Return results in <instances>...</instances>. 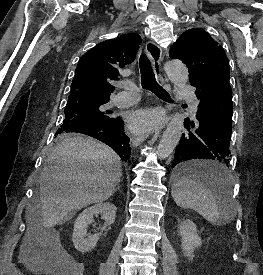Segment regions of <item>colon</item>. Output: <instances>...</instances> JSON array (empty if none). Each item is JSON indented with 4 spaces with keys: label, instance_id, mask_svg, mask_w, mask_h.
Wrapping results in <instances>:
<instances>
[{
    "label": "colon",
    "instance_id": "1",
    "mask_svg": "<svg viewBox=\"0 0 263 275\" xmlns=\"http://www.w3.org/2000/svg\"><path fill=\"white\" fill-rule=\"evenodd\" d=\"M50 252L52 254V262L55 266L62 267L66 271L70 272H74L77 270L76 264L70 261L59 247H52Z\"/></svg>",
    "mask_w": 263,
    "mask_h": 275
}]
</instances>
